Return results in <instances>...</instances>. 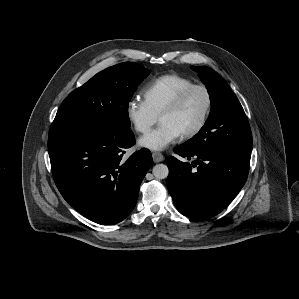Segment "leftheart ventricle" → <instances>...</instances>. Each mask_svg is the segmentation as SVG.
<instances>
[{"label": "left heart ventricle", "instance_id": "1", "mask_svg": "<svg viewBox=\"0 0 299 299\" xmlns=\"http://www.w3.org/2000/svg\"><path fill=\"white\" fill-rule=\"evenodd\" d=\"M205 105L204 93L195 90L189 94L176 111L161 116L159 122L171 124L183 134L197 125L203 115Z\"/></svg>", "mask_w": 299, "mask_h": 299}]
</instances>
